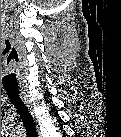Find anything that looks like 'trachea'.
Wrapping results in <instances>:
<instances>
[{"label":"trachea","instance_id":"obj_1","mask_svg":"<svg viewBox=\"0 0 121 137\" xmlns=\"http://www.w3.org/2000/svg\"><path fill=\"white\" fill-rule=\"evenodd\" d=\"M18 60L17 52L12 53L3 67V78L2 83L5 90L8 93L9 99L12 104L16 107L25 127L27 130H33L35 128L34 120L29 113L27 107L21 100L18 92V74L15 69V61Z\"/></svg>","mask_w":121,"mask_h":137}]
</instances>
